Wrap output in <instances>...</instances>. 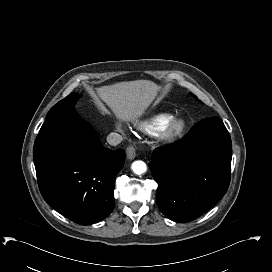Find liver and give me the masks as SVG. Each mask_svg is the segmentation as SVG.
<instances>
[{
  "label": "liver",
  "instance_id": "liver-1",
  "mask_svg": "<svg viewBox=\"0 0 272 272\" xmlns=\"http://www.w3.org/2000/svg\"><path fill=\"white\" fill-rule=\"evenodd\" d=\"M156 91V84L149 80L120 82L96 89L115 117L124 122L137 121L153 101Z\"/></svg>",
  "mask_w": 272,
  "mask_h": 272
}]
</instances>
